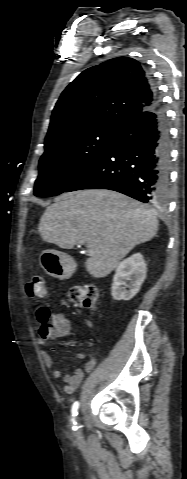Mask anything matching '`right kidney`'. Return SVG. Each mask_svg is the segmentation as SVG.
<instances>
[{"label": "right kidney", "mask_w": 187, "mask_h": 479, "mask_svg": "<svg viewBox=\"0 0 187 479\" xmlns=\"http://www.w3.org/2000/svg\"><path fill=\"white\" fill-rule=\"evenodd\" d=\"M147 265L140 253L123 260L116 268L111 294L116 301H129L140 290L146 278ZM129 282V284H127ZM128 288V290H126Z\"/></svg>", "instance_id": "ca27d5eb"}]
</instances>
